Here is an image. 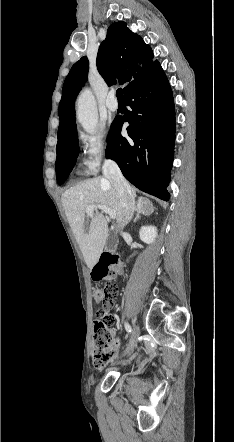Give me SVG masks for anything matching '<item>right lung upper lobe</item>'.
<instances>
[{
  "label": "right lung upper lobe",
  "mask_w": 234,
  "mask_h": 442,
  "mask_svg": "<svg viewBox=\"0 0 234 442\" xmlns=\"http://www.w3.org/2000/svg\"><path fill=\"white\" fill-rule=\"evenodd\" d=\"M152 58V50L140 36L133 33L125 22H115L108 28L106 39L100 45L96 63L99 73L110 86L116 83V79L120 84H130L144 76L158 64ZM88 64L87 57H82L72 66L65 79L59 104L60 125L56 148L65 144L77 131L74 102L87 80ZM126 89H123V93Z\"/></svg>",
  "instance_id": "obj_1"
}]
</instances>
